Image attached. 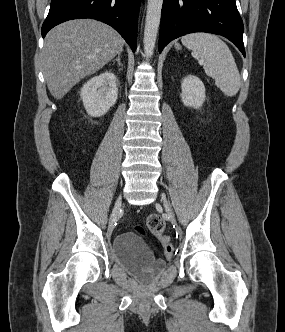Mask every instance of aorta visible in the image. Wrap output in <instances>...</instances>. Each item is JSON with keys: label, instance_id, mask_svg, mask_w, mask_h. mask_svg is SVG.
<instances>
[{"label": "aorta", "instance_id": "aorta-1", "mask_svg": "<svg viewBox=\"0 0 285 332\" xmlns=\"http://www.w3.org/2000/svg\"><path fill=\"white\" fill-rule=\"evenodd\" d=\"M162 4L163 0H148L143 39L144 52L147 58L152 56L155 47Z\"/></svg>", "mask_w": 285, "mask_h": 332}]
</instances>
